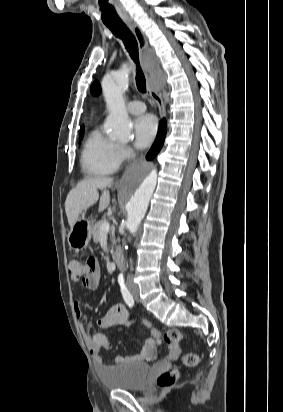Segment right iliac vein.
I'll use <instances>...</instances> for the list:
<instances>
[{
  "label": "right iliac vein",
  "mask_w": 283,
  "mask_h": 412,
  "mask_svg": "<svg viewBox=\"0 0 283 412\" xmlns=\"http://www.w3.org/2000/svg\"><path fill=\"white\" fill-rule=\"evenodd\" d=\"M132 293H133V294H137V293H138V290H136V289H135V290H132Z\"/></svg>",
  "instance_id": "right-iliac-vein-1"
}]
</instances>
